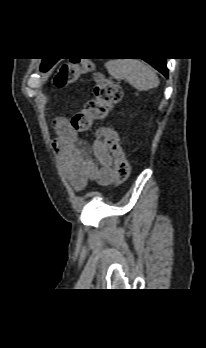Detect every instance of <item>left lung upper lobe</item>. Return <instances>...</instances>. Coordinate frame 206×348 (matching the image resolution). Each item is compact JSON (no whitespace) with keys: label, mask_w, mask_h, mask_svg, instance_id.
Masks as SVG:
<instances>
[{"label":"left lung upper lobe","mask_w":206,"mask_h":348,"mask_svg":"<svg viewBox=\"0 0 206 348\" xmlns=\"http://www.w3.org/2000/svg\"><path fill=\"white\" fill-rule=\"evenodd\" d=\"M54 63H55L54 60L43 59L41 64V71H47L48 69L52 67Z\"/></svg>","instance_id":"obj_1"}]
</instances>
